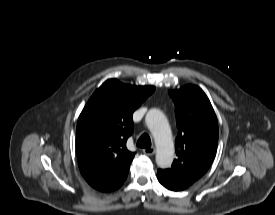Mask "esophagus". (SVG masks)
I'll list each match as a JSON object with an SVG mask.
<instances>
[{"instance_id": "34e87169", "label": "esophagus", "mask_w": 275, "mask_h": 215, "mask_svg": "<svg viewBox=\"0 0 275 215\" xmlns=\"http://www.w3.org/2000/svg\"><path fill=\"white\" fill-rule=\"evenodd\" d=\"M143 153L145 155L151 156L155 153V148L154 147L145 148V149H143Z\"/></svg>"}]
</instances>
